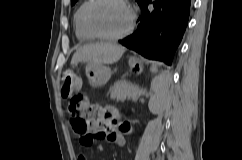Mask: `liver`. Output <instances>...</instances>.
<instances>
[{"label": "liver", "instance_id": "1", "mask_svg": "<svg viewBox=\"0 0 242 160\" xmlns=\"http://www.w3.org/2000/svg\"><path fill=\"white\" fill-rule=\"evenodd\" d=\"M126 48L114 43H97L79 48L71 59V65L79 62L92 64H113L117 62Z\"/></svg>", "mask_w": 242, "mask_h": 160}]
</instances>
